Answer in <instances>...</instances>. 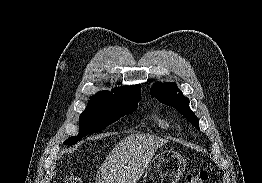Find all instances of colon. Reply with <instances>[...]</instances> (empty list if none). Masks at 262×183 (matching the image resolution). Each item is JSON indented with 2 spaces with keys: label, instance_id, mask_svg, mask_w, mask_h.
I'll list each match as a JSON object with an SVG mask.
<instances>
[{
  "label": "colon",
  "instance_id": "obj_1",
  "mask_svg": "<svg viewBox=\"0 0 262 183\" xmlns=\"http://www.w3.org/2000/svg\"><path fill=\"white\" fill-rule=\"evenodd\" d=\"M209 178L207 171H196L189 173L186 176L187 183H206ZM64 183H89L86 179L81 176H71L65 180Z\"/></svg>",
  "mask_w": 262,
  "mask_h": 183
}]
</instances>
